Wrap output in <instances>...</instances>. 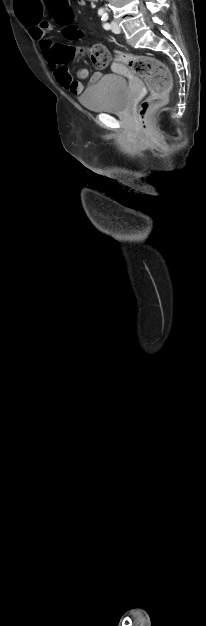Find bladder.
I'll list each match as a JSON object with an SVG mask.
<instances>
[{
  "label": "bladder",
  "instance_id": "1",
  "mask_svg": "<svg viewBox=\"0 0 206 626\" xmlns=\"http://www.w3.org/2000/svg\"><path fill=\"white\" fill-rule=\"evenodd\" d=\"M79 102L92 112H124L131 102V90L124 77L105 75L79 96Z\"/></svg>",
  "mask_w": 206,
  "mask_h": 626
}]
</instances>
